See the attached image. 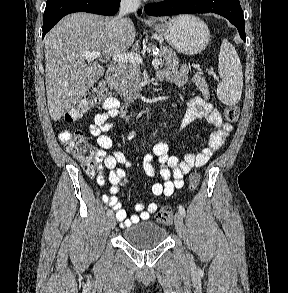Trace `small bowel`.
I'll return each instance as SVG.
<instances>
[{
    "label": "small bowel",
    "mask_w": 288,
    "mask_h": 293,
    "mask_svg": "<svg viewBox=\"0 0 288 293\" xmlns=\"http://www.w3.org/2000/svg\"><path fill=\"white\" fill-rule=\"evenodd\" d=\"M159 79L165 80L179 87L186 86L190 81L199 89L201 96L189 100L187 110L182 120V128L187 127L198 119H205L217 130L211 134L206 148L199 153H188L182 159L169 153V144L166 142L155 143L151 153L145 155L143 159V168L145 173L153 177L157 170L152 165L154 157L160 164L159 175L163 182H155L151 186V192L155 196H171L175 190L184 185V176L193 167H202L208 163L211 156L219 150L224 144L226 138L232 131V126L225 122L222 115L213 102V95L206 80L199 74H195L191 79L188 77V68L183 65L174 72L166 70L160 71ZM120 103L115 98L107 99L103 104V112L95 115L93 123L89 125V133L96 138L97 146L96 159L99 164L100 173L97 177V183L103 185L105 180L102 173L103 169L108 170V180L111 184L109 195L102 197L103 202L111 207L115 212L116 219L123 227H129L138 223L140 220H148L156 210L155 202L145 206L138 202L134 209L138 214L127 216L126 210L122 207L116 193L123 187L128 178V170L131 168V162L120 151L111 150L112 139L106 134L114 127V122L110 118L119 114H124Z\"/></svg>",
    "instance_id": "c3829d8e"
}]
</instances>
